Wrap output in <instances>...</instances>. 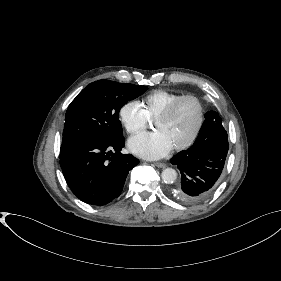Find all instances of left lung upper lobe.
I'll return each mask as SVG.
<instances>
[{"mask_svg":"<svg viewBox=\"0 0 281 281\" xmlns=\"http://www.w3.org/2000/svg\"><path fill=\"white\" fill-rule=\"evenodd\" d=\"M210 112H212L211 113V116L213 117V118H215L217 121H218V123L222 126V121H221V118L218 116V114L215 112V111H210ZM208 113V112H207ZM223 127V126H222Z\"/></svg>","mask_w":281,"mask_h":281,"instance_id":"5c2ea615","label":"left lung upper lobe"}]
</instances>
